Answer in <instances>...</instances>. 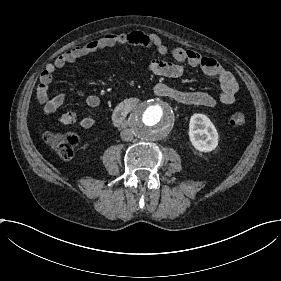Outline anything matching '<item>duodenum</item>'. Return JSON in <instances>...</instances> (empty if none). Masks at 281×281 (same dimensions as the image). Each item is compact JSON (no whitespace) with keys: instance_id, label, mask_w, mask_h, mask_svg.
I'll return each mask as SVG.
<instances>
[{"instance_id":"duodenum-1","label":"duodenum","mask_w":281,"mask_h":281,"mask_svg":"<svg viewBox=\"0 0 281 281\" xmlns=\"http://www.w3.org/2000/svg\"><path fill=\"white\" fill-rule=\"evenodd\" d=\"M137 104L138 100L136 98H130L118 104L112 114L113 123L117 126L123 125Z\"/></svg>"}]
</instances>
